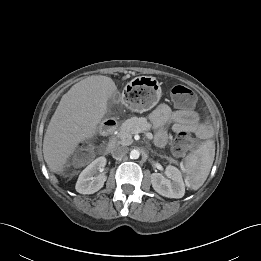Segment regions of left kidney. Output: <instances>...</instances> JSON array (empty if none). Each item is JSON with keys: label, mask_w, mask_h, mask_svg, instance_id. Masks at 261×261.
<instances>
[{"label": "left kidney", "mask_w": 261, "mask_h": 261, "mask_svg": "<svg viewBox=\"0 0 261 261\" xmlns=\"http://www.w3.org/2000/svg\"><path fill=\"white\" fill-rule=\"evenodd\" d=\"M164 177L160 173L151 174L153 189L160 195L168 198H182L185 194V184L179 169L167 166Z\"/></svg>", "instance_id": "1"}]
</instances>
